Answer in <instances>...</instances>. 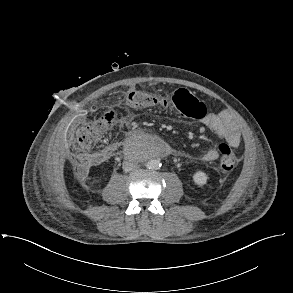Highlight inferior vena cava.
Listing matches in <instances>:
<instances>
[{"label":"inferior vena cava","instance_id":"602c4592","mask_svg":"<svg viewBox=\"0 0 293 293\" xmlns=\"http://www.w3.org/2000/svg\"><path fill=\"white\" fill-rule=\"evenodd\" d=\"M123 170L125 172H130L132 171L134 168H136V164L132 161H124L123 162Z\"/></svg>","mask_w":293,"mask_h":293}]
</instances>
